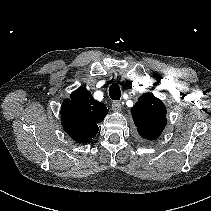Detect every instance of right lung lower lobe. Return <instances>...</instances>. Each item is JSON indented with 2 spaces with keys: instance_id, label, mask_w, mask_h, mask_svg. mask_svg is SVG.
I'll use <instances>...</instances> for the list:
<instances>
[{
  "instance_id": "98d812e1",
  "label": "right lung lower lobe",
  "mask_w": 211,
  "mask_h": 211,
  "mask_svg": "<svg viewBox=\"0 0 211 211\" xmlns=\"http://www.w3.org/2000/svg\"><path fill=\"white\" fill-rule=\"evenodd\" d=\"M63 115H64V117H65V115H66V114H65V111L63 112Z\"/></svg>"
}]
</instances>
